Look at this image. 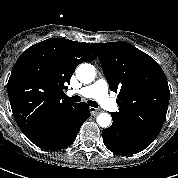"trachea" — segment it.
<instances>
[{
  "label": "trachea",
  "mask_w": 178,
  "mask_h": 178,
  "mask_svg": "<svg viewBox=\"0 0 178 178\" xmlns=\"http://www.w3.org/2000/svg\"><path fill=\"white\" fill-rule=\"evenodd\" d=\"M64 99L69 101V102H79L81 101V97L80 96H72V97H68L67 95L64 96ZM88 105L94 108L98 107V103L92 100H88L87 101Z\"/></svg>",
  "instance_id": "3493384b"
}]
</instances>
